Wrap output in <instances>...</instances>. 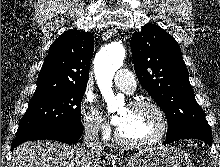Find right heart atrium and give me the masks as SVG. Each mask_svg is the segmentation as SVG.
Here are the masks:
<instances>
[{
	"label": "right heart atrium",
	"instance_id": "d8ad5b80",
	"mask_svg": "<svg viewBox=\"0 0 220 167\" xmlns=\"http://www.w3.org/2000/svg\"><path fill=\"white\" fill-rule=\"evenodd\" d=\"M81 120L84 131L93 137L106 138L110 128L94 101L85 96L81 105Z\"/></svg>",
	"mask_w": 220,
	"mask_h": 167
}]
</instances>
